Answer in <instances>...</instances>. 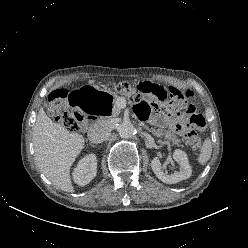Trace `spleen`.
Wrapping results in <instances>:
<instances>
[{
    "mask_svg": "<svg viewBox=\"0 0 248 248\" xmlns=\"http://www.w3.org/2000/svg\"><path fill=\"white\" fill-rule=\"evenodd\" d=\"M212 153V142L210 139H206L200 148V153L198 155L197 161L200 165H205L211 157Z\"/></svg>",
    "mask_w": 248,
    "mask_h": 248,
    "instance_id": "obj_1",
    "label": "spleen"
}]
</instances>
